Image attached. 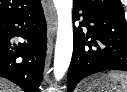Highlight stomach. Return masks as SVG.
Wrapping results in <instances>:
<instances>
[{
    "instance_id": "stomach-1",
    "label": "stomach",
    "mask_w": 127,
    "mask_h": 92,
    "mask_svg": "<svg viewBox=\"0 0 127 92\" xmlns=\"http://www.w3.org/2000/svg\"><path fill=\"white\" fill-rule=\"evenodd\" d=\"M116 87L117 84L107 75H99L88 79L82 92H112Z\"/></svg>"
}]
</instances>
